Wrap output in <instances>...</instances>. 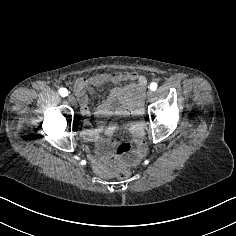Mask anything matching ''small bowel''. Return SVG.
<instances>
[{
    "mask_svg": "<svg viewBox=\"0 0 236 236\" xmlns=\"http://www.w3.org/2000/svg\"><path fill=\"white\" fill-rule=\"evenodd\" d=\"M105 79L115 83L133 81L123 87L114 88L107 99L96 109L98 127L92 129V109L85 89L89 85H100ZM146 79L136 72L116 73L111 77L94 76L77 80L75 89L81 105V113L85 123L84 138L95 144V155L90 157L91 164L97 174L108 177L118 168L134 165L146 153V141L143 133L142 106ZM108 118L111 122L105 127ZM122 127L128 130L136 148L131 151L130 144L116 145L113 135Z\"/></svg>",
    "mask_w": 236,
    "mask_h": 236,
    "instance_id": "small-bowel-1",
    "label": "small bowel"
}]
</instances>
